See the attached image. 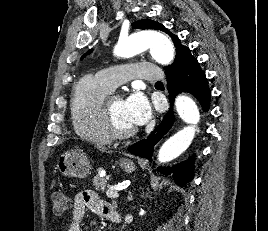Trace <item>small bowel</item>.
<instances>
[{"instance_id": "obj_1", "label": "small bowel", "mask_w": 268, "mask_h": 231, "mask_svg": "<svg viewBox=\"0 0 268 231\" xmlns=\"http://www.w3.org/2000/svg\"><path fill=\"white\" fill-rule=\"evenodd\" d=\"M88 210L111 219L114 209L92 190H83L75 195L72 203V219L67 231H82L81 222Z\"/></svg>"}]
</instances>
